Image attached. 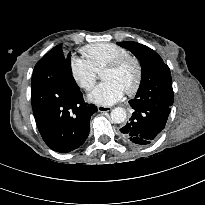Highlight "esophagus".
Returning <instances> with one entry per match:
<instances>
[{
  "mask_svg": "<svg viewBox=\"0 0 205 205\" xmlns=\"http://www.w3.org/2000/svg\"><path fill=\"white\" fill-rule=\"evenodd\" d=\"M98 111L99 112H109L111 111V107H107V106H98Z\"/></svg>",
  "mask_w": 205,
  "mask_h": 205,
  "instance_id": "obj_1",
  "label": "esophagus"
}]
</instances>
